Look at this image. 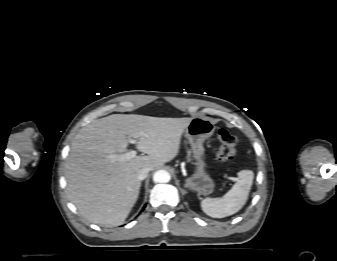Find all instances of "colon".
Masks as SVG:
<instances>
[{
	"label": "colon",
	"instance_id": "obj_1",
	"mask_svg": "<svg viewBox=\"0 0 337 261\" xmlns=\"http://www.w3.org/2000/svg\"><path fill=\"white\" fill-rule=\"evenodd\" d=\"M219 148L216 159L220 163H226L233 159L236 153L237 138L227 130H220L218 133Z\"/></svg>",
	"mask_w": 337,
	"mask_h": 261
}]
</instances>
